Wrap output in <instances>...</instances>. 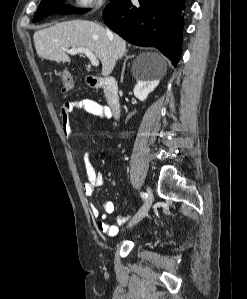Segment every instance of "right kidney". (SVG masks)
I'll return each mask as SVG.
<instances>
[{
  "mask_svg": "<svg viewBox=\"0 0 247 299\" xmlns=\"http://www.w3.org/2000/svg\"><path fill=\"white\" fill-rule=\"evenodd\" d=\"M158 84L159 80L139 79L133 90L135 97L142 102L145 101Z\"/></svg>",
  "mask_w": 247,
  "mask_h": 299,
  "instance_id": "1",
  "label": "right kidney"
}]
</instances>
